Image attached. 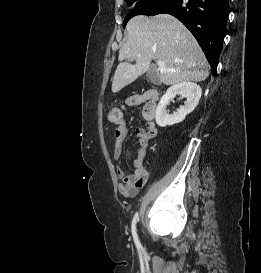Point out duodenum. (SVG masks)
<instances>
[{"label":"duodenum","instance_id":"obj_1","mask_svg":"<svg viewBox=\"0 0 261 273\" xmlns=\"http://www.w3.org/2000/svg\"><path fill=\"white\" fill-rule=\"evenodd\" d=\"M158 91L156 89H153L150 91V97L153 101H156L158 99Z\"/></svg>","mask_w":261,"mask_h":273}]
</instances>
